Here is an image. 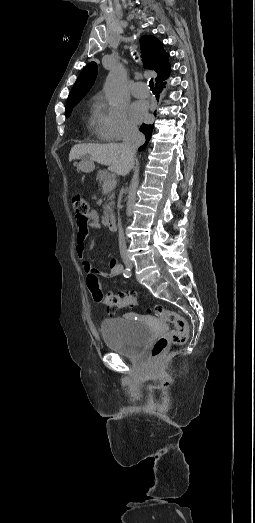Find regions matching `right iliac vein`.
Here are the masks:
<instances>
[{"label":"right iliac vein","mask_w":255,"mask_h":523,"mask_svg":"<svg viewBox=\"0 0 255 523\" xmlns=\"http://www.w3.org/2000/svg\"><path fill=\"white\" fill-rule=\"evenodd\" d=\"M125 263H126V265H127L128 267H130V266L132 265V263H131L130 261H126Z\"/></svg>","instance_id":"obj_1"}]
</instances>
